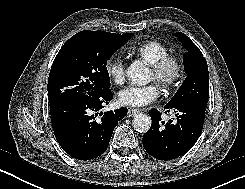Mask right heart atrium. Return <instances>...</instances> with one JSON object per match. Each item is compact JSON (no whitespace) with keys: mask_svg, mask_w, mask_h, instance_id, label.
<instances>
[{"mask_svg":"<svg viewBox=\"0 0 245 189\" xmlns=\"http://www.w3.org/2000/svg\"><path fill=\"white\" fill-rule=\"evenodd\" d=\"M105 71L115 84L125 81V62L121 57L113 56L106 60Z\"/></svg>","mask_w":245,"mask_h":189,"instance_id":"right-heart-atrium-1","label":"right heart atrium"}]
</instances>
